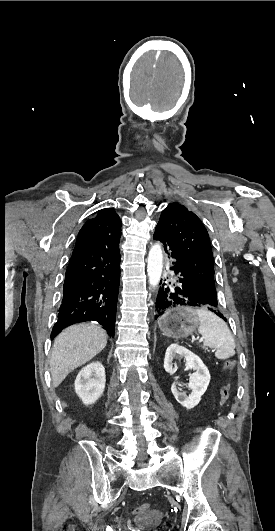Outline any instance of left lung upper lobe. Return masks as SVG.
<instances>
[{
	"label": "left lung upper lobe",
	"mask_w": 275,
	"mask_h": 531,
	"mask_svg": "<svg viewBox=\"0 0 275 531\" xmlns=\"http://www.w3.org/2000/svg\"><path fill=\"white\" fill-rule=\"evenodd\" d=\"M157 226L174 246L196 294L217 305L213 253L201 220L185 206L173 202L162 211Z\"/></svg>",
	"instance_id": "left-lung-upper-lobe-1"
}]
</instances>
